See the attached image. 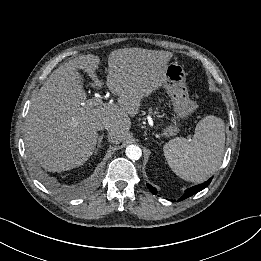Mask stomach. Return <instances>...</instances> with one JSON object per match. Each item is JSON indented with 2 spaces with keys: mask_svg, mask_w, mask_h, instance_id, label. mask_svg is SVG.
<instances>
[{
  "mask_svg": "<svg viewBox=\"0 0 261 261\" xmlns=\"http://www.w3.org/2000/svg\"><path fill=\"white\" fill-rule=\"evenodd\" d=\"M162 86L170 96L175 120L162 131L164 137L175 136L179 133L180 121L186 119L198 107L197 103L189 98L186 85V73L182 65L177 62L166 66Z\"/></svg>",
  "mask_w": 261,
  "mask_h": 261,
  "instance_id": "0dacf381",
  "label": "stomach"
}]
</instances>
